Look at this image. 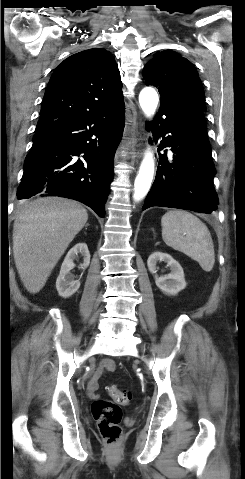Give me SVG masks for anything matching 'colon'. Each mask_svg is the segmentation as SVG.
<instances>
[{
  "instance_id": "colon-1",
  "label": "colon",
  "mask_w": 245,
  "mask_h": 479,
  "mask_svg": "<svg viewBox=\"0 0 245 479\" xmlns=\"http://www.w3.org/2000/svg\"><path fill=\"white\" fill-rule=\"evenodd\" d=\"M112 400L97 399L92 404V414L97 422L100 434L107 445H116L122 436L120 426L122 420L121 406L127 405L131 399L128 391L110 388Z\"/></svg>"
}]
</instances>
